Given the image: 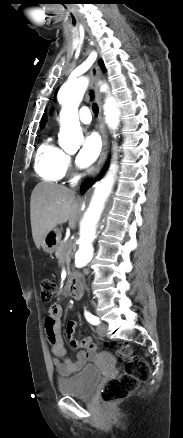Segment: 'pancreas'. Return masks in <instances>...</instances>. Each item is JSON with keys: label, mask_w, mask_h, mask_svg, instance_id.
I'll use <instances>...</instances> for the list:
<instances>
[{"label": "pancreas", "mask_w": 183, "mask_h": 438, "mask_svg": "<svg viewBox=\"0 0 183 438\" xmlns=\"http://www.w3.org/2000/svg\"><path fill=\"white\" fill-rule=\"evenodd\" d=\"M56 258L60 263H66L67 267L70 265L72 248L69 242H60L56 249Z\"/></svg>", "instance_id": "pancreas-1"}]
</instances>
